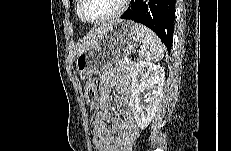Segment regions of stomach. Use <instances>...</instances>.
<instances>
[{
    "instance_id": "obj_1",
    "label": "stomach",
    "mask_w": 231,
    "mask_h": 151,
    "mask_svg": "<svg viewBox=\"0 0 231 151\" xmlns=\"http://www.w3.org/2000/svg\"><path fill=\"white\" fill-rule=\"evenodd\" d=\"M138 44L134 22L117 20L95 45L77 56V71L83 78L102 73L132 54Z\"/></svg>"
}]
</instances>
